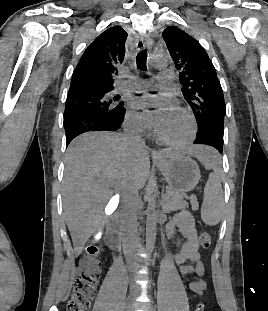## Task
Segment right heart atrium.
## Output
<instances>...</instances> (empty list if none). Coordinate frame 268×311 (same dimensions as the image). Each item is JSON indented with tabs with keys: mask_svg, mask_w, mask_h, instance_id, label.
Listing matches in <instances>:
<instances>
[{
	"mask_svg": "<svg viewBox=\"0 0 268 311\" xmlns=\"http://www.w3.org/2000/svg\"><path fill=\"white\" fill-rule=\"evenodd\" d=\"M125 125L130 131L143 133L150 128V121L143 114L130 112L126 116Z\"/></svg>",
	"mask_w": 268,
	"mask_h": 311,
	"instance_id": "right-heart-atrium-1",
	"label": "right heart atrium"
}]
</instances>
